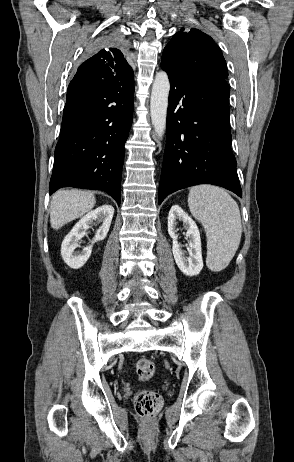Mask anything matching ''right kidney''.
Returning <instances> with one entry per match:
<instances>
[{
    "mask_svg": "<svg viewBox=\"0 0 294 462\" xmlns=\"http://www.w3.org/2000/svg\"><path fill=\"white\" fill-rule=\"evenodd\" d=\"M113 214V206L108 204L102 205L82 217L66 235L61 245V255L64 262L70 268L79 269L87 262L91 255L93 244L103 240L107 236ZM94 221L102 224L96 231L91 245L84 247L81 253L75 252L78 242L85 236L86 231Z\"/></svg>",
    "mask_w": 294,
    "mask_h": 462,
    "instance_id": "ca27d5eb",
    "label": "right kidney"
}]
</instances>
